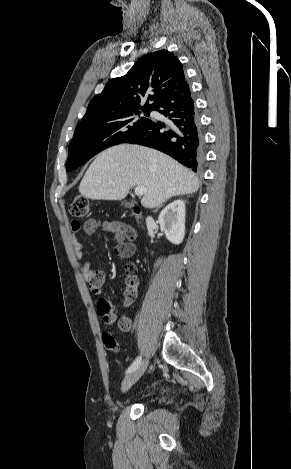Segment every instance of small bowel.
<instances>
[{
    "label": "small bowel",
    "instance_id": "obj_1",
    "mask_svg": "<svg viewBox=\"0 0 291 469\" xmlns=\"http://www.w3.org/2000/svg\"><path fill=\"white\" fill-rule=\"evenodd\" d=\"M71 228L74 232L72 236V244L73 249L75 252V257L78 261L80 270L83 274L84 279L88 282L89 287L95 294L102 293V287L104 285L106 279V270L103 268L99 269H91L90 262L84 261V251L83 245L80 241V238L77 235V232L81 230L82 226L79 222L73 221L71 223ZM83 229L86 233L91 234L97 231L98 229H102L103 231L113 234L119 244L117 248L124 244L123 238L125 235L131 236V231L123 224L114 222V221H100L98 219H90L83 225ZM116 248V252H117ZM131 255V254H130ZM130 255L121 256V257H128ZM120 256V255H119ZM137 292L134 294L132 301L136 298ZM125 300L128 298V290H127V281H126V290L124 293ZM99 313V312H98ZM100 314V313H99ZM118 327L123 332H128L131 329V320L128 317H121L118 321Z\"/></svg>",
    "mask_w": 291,
    "mask_h": 469
}]
</instances>
